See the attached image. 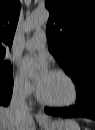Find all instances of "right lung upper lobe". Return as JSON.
<instances>
[{
	"instance_id": "1",
	"label": "right lung upper lobe",
	"mask_w": 95,
	"mask_h": 130,
	"mask_svg": "<svg viewBox=\"0 0 95 130\" xmlns=\"http://www.w3.org/2000/svg\"><path fill=\"white\" fill-rule=\"evenodd\" d=\"M20 12L19 0H0V57L11 48Z\"/></svg>"
}]
</instances>
